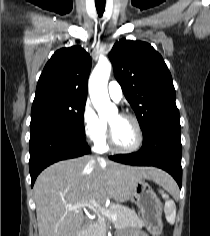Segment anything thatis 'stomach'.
Returning a JSON list of instances; mask_svg holds the SVG:
<instances>
[{"mask_svg":"<svg viewBox=\"0 0 210 236\" xmlns=\"http://www.w3.org/2000/svg\"><path fill=\"white\" fill-rule=\"evenodd\" d=\"M129 200L138 206L148 232L159 236L163 230L162 204L148 183L144 180L135 182Z\"/></svg>","mask_w":210,"mask_h":236,"instance_id":"1","label":"stomach"}]
</instances>
